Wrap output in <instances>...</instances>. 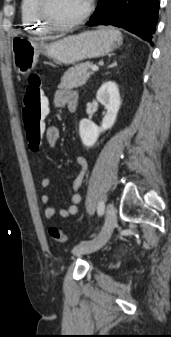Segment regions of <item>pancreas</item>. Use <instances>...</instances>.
<instances>
[{
  "label": "pancreas",
  "instance_id": "cf45deb5",
  "mask_svg": "<svg viewBox=\"0 0 171 337\" xmlns=\"http://www.w3.org/2000/svg\"><path fill=\"white\" fill-rule=\"evenodd\" d=\"M92 66L91 62H85L69 68L61 78L59 88L73 89L85 85L88 78L93 74L89 71Z\"/></svg>",
  "mask_w": 171,
  "mask_h": 337
}]
</instances>
